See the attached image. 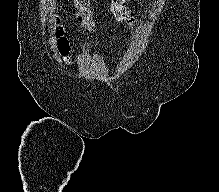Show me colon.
Segmentation results:
<instances>
[{
	"label": "colon",
	"mask_w": 219,
	"mask_h": 192,
	"mask_svg": "<svg viewBox=\"0 0 219 192\" xmlns=\"http://www.w3.org/2000/svg\"><path fill=\"white\" fill-rule=\"evenodd\" d=\"M75 5L82 7V8H87L89 5V0H74ZM85 26L88 29H91L93 27V24L91 21H86ZM56 38H57V44H58V49L59 52L63 55L66 56L69 50V43L68 39L65 36L64 29L61 26L56 27Z\"/></svg>",
	"instance_id": "obj_1"
}]
</instances>
